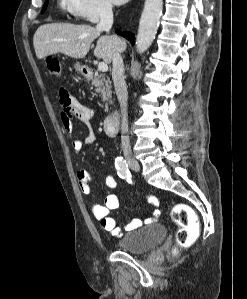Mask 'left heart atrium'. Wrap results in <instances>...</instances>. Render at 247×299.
<instances>
[{"instance_id": "39dd6f15", "label": "left heart atrium", "mask_w": 247, "mask_h": 299, "mask_svg": "<svg viewBox=\"0 0 247 299\" xmlns=\"http://www.w3.org/2000/svg\"><path fill=\"white\" fill-rule=\"evenodd\" d=\"M128 0H112L113 3L117 4V5H120V4H123L125 2H127Z\"/></svg>"}]
</instances>
